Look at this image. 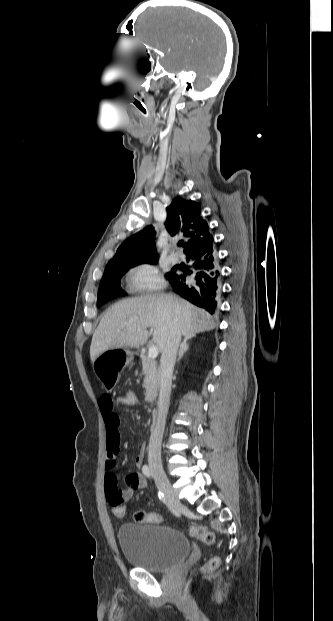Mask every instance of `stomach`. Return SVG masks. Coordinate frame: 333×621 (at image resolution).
Instances as JSON below:
<instances>
[{"label":"stomach","instance_id":"0dacf381","mask_svg":"<svg viewBox=\"0 0 333 621\" xmlns=\"http://www.w3.org/2000/svg\"><path fill=\"white\" fill-rule=\"evenodd\" d=\"M133 352L128 349L112 348L103 351L93 362L97 376L108 389L113 387L119 372L133 360Z\"/></svg>","mask_w":333,"mask_h":621}]
</instances>
